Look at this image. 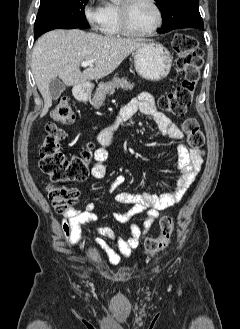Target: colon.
Returning <instances> with one entry per match:
<instances>
[{"mask_svg":"<svg viewBox=\"0 0 240 329\" xmlns=\"http://www.w3.org/2000/svg\"><path fill=\"white\" fill-rule=\"evenodd\" d=\"M173 48L177 54L176 65L183 73L181 83L171 92L159 99V105L174 116H183L193 100L196 84L200 77L203 64V52L197 40L188 34H176ZM53 122L46 127L47 135L42 143L39 154V166L53 183L78 182L89 175V162L92 156V144H87L79 154L68 158L60 148L59 142L64 134L57 124L68 126L74 123L76 115L67 96H60L52 110ZM189 146L199 155L204 153V134L198 121L187 118L182 123ZM48 198L58 214H66L77 202L78 192L61 186H50ZM174 230V219L164 216L160 220V233L145 242L144 251L147 255L155 254L166 248Z\"/></svg>","mask_w":240,"mask_h":329,"instance_id":"obj_1","label":"colon"}]
</instances>
